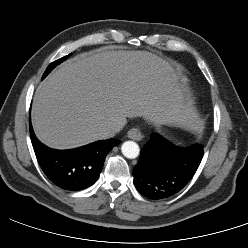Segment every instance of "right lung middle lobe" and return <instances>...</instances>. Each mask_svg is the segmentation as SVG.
<instances>
[{
    "label": "right lung middle lobe",
    "mask_w": 248,
    "mask_h": 248,
    "mask_svg": "<svg viewBox=\"0 0 248 248\" xmlns=\"http://www.w3.org/2000/svg\"><path fill=\"white\" fill-rule=\"evenodd\" d=\"M68 56H69V55H67V56H65V57H63V58H61V59H59V60H56V61H54L53 63H51V64L47 67V69H46V71H45L43 77H45V76H46V75H47V74H48L56 65L60 64L62 61H64L65 59H67Z\"/></svg>",
    "instance_id": "1"
}]
</instances>
